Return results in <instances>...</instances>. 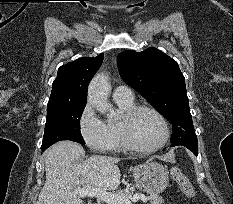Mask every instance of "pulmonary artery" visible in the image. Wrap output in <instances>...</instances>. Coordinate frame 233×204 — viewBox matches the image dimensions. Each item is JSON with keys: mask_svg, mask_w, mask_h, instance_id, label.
<instances>
[{"mask_svg": "<svg viewBox=\"0 0 233 204\" xmlns=\"http://www.w3.org/2000/svg\"><path fill=\"white\" fill-rule=\"evenodd\" d=\"M114 100L128 101L133 99V93L127 86H117L113 92Z\"/></svg>", "mask_w": 233, "mask_h": 204, "instance_id": "obj_1", "label": "pulmonary artery"}]
</instances>
